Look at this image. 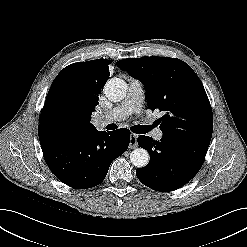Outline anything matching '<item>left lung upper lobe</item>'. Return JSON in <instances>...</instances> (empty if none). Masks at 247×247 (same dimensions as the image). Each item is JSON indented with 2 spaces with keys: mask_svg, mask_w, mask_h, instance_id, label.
Returning <instances> with one entry per match:
<instances>
[{
  "mask_svg": "<svg viewBox=\"0 0 247 247\" xmlns=\"http://www.w3.org/2000/svg\"><path fill=\"white\" fill-rule=\"evenodd\" d=\"M116 64L143 82L152 111H164L165 115L156 121L163 135L210 143V102L199 77L187 63L176 58L142 57Z\"/></svg>",
  "mask_w": 247,
  "mask_h": 247,
  "instance_id": "1",
  "label": "left lung upper lobe"
}]
</instances>
